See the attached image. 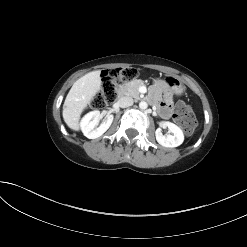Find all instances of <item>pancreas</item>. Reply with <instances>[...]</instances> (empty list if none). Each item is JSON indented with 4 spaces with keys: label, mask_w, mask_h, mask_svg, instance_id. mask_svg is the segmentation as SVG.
<instances>
[{
    "label": "pancreas",
    "mask_w": 247,
    "mask_h": 247,
    "mask_svg": "<svg viewBox=\"0 0 247 247\" xmlns=\"http://www.w3.org/2000/svg\"><path fill=\"white\" fill-rule=\"evenodd\" d=\"M143 85L144 83L142 80H133L130 82H126L123 85H121L122 90L118 91V93H120L121 95H128L136 99H139V97H141L139 87Z\"/></svg>",
    "instance_id": "1"
}]
</instances>
